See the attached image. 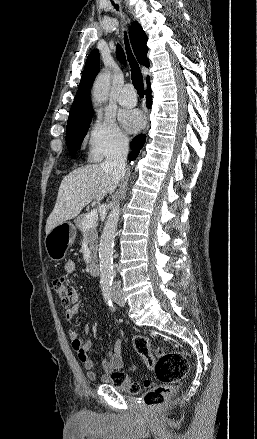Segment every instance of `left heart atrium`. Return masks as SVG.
I'll use <instances>...</instances> for the list:
<instances>
[{
    "mask_svg": "<svg viewBox=\"0 0 257 439\" xmlns=\"http://www.w3.org/2000/svg\"><path fill=\"white\" fill-rule=\"evenodd\" d=\"M121 120H122V123L124 124V126L129 131L138 130L143 123V117L137 111H130V112L123 113L121 115Z\"/></svg>",
    "mask_w": 257,
    "mask_h": 439,
    "instance_id": "obj_1",
    "label": "left heart atrium"
}]
</instances>
